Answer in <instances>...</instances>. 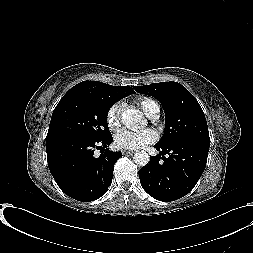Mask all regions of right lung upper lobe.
Listing matches in <instances>:
<instances>
[{
    "instance_id": "cb5924a9",
    "label": "right lung upper lobe",
    "mask_w": 253,
    "mask_h": 253,
    "mask_svg": "<svg viewBox=\"0 0 253 253\" xmlns=\"http://www.w3.org/2000/svg\"><path fill=\"white\" fill-rule=\"evenodd\" d=\"M71 90H85L105 96H109L111 98L116 99L117 101L129 96L134 92V90L130 86H111L98 81H83L74 87Z\"/></svg>"
}]
</instances>
